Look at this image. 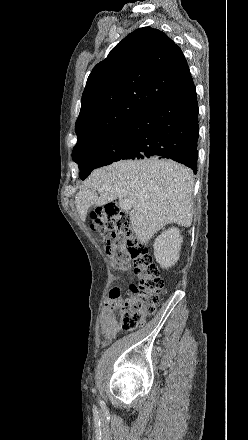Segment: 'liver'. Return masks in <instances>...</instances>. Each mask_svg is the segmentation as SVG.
I'll use <instances>...</instances> for the list:
<instances>
[{"mask_svg": "<svg viewBox=\"0 0 248 440\" xmlns=\"http://www.w3.org/2000/svg\"><path fill=\"white\" fill-rule=\"evenodd\" d=\"M193 188L192 171L174 161L121 160L94 170L80 186L75 205L85 221L92 205L117 197L132 200V230L141 244H147L167 224L191 225Z\"/></svg>", "mask_w": 248, "mask_h": 440, "instance_id": "1", "label": "liver"}]
</instances>
